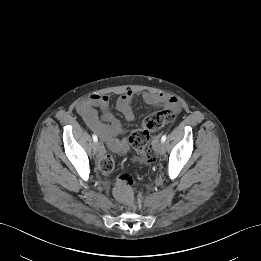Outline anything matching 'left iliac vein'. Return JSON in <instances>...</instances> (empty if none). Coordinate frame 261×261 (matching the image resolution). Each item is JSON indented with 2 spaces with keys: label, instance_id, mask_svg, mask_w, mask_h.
I'll return each instance as SVG.
<instances>
[{
  "label": "left iliac vein",
  "instance_id": "1",
  "mask_svg": "<svg viewBox=\"0 0 261 261\" xmlns=\"http://www.w3.org/2000/svg\"><path fill=\"white\" fill-rule=\"evenodd\" d=\"M156 151L158 152V153H160V154H163L164 153V151H165V144H164V142H158L157 144H156Z\"/></svg>",
  "mask_w": 261,
  "mask_h": 261
}]
</instances>
